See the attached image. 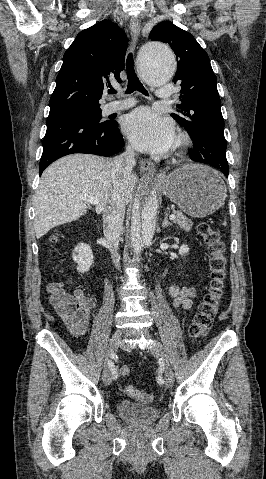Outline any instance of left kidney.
I'll return each mask as SVG.
<instances>
[{
  "label": "left kidney",
  "mask_w": 266,
  "mask_h": 479,
  "mask_svg": "<svg viewBox=\"0 0 266 479\" xmlns=\"http://www.w3.org/2000/svg\"><path fill=\"white\" fill-rule=\"evenodd\" d=\"M189 252V248L187 245L183 244L180 248H179V254L180 255H186L188 254Z\"/></svg>",
  "instance_id": "1"
}]
</instances>
